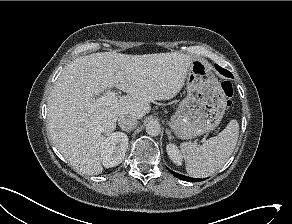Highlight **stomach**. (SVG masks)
Returning <instances> with one entry per match:
<instances>
[{
    "label": "stomach",
    "mask_w": 292,
    "mask_h": 224,
    "mask_svg": "<svg viewBox=\"0 0 292 224\" xmlns=\"http://www.w3.org/2000/svg\"><path fill=\"white\" fill-rule=\"evenodd\" d=\"M187 96L172 116L173 130L181 139H192L214 130L226 109L220 82L202 58H191L186 75Z\"/></svg>",
    "instance_id": "stomach-1"
}]
</instances>
